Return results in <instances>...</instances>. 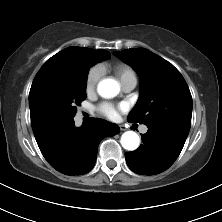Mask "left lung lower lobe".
<instances>
[{"instance_id": "left-lung-lower-lobe-1", "label": "left lung lower lobe", "mask_w": 222, "mask_h": 222, "mask_svg": "<svg viewBox=\"0 0 222 222\" xmlns=\"http://www.w3.org/2000/svg\"><path fill=\"white\" fill-rule=\"evenodd\" d=\"M143 144L125 153L129 168L142 175H155L167 170L179 156L189 129L181 122L164 121L147 125Z\"/></svg>"}]
</instances>
